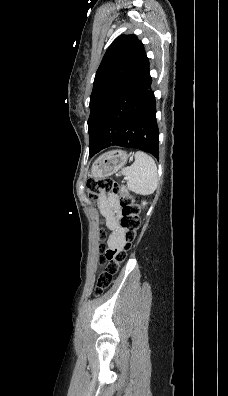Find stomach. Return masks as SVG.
Wrapping results in <instances>:
<instances>
[{
	"instance_id": "0dacf381",
	"label": "stomach",
	"mask_w": 228,
	"mask_h": 396,
	"mask_svg": "<svg viewBox=\"0 0 228 396\" xmlns=\"http://www.w3.org/2000/svg\"><path fill=\"white\" fill-rule=\"evenodd\" d=\"M130 155L123 150H113L101 155L93 164L91 175L101 179L116 173L122 168Z\"/></svg>"
}]
</instances>
